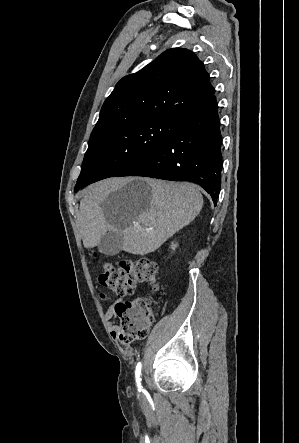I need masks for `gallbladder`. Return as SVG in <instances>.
<instances>
[{
  "label": "gallbladder",
  "mask_w": 299,
  "mask_h": 443,
  "mask_svg": "<svg viewBox=\"0 0 299 443\" xmlns=\"http://www.w3.org/2000/svg\"><path fill=\"white\" fill-rule=\"evenodd\" d=\"M123 236L120 233H106L98 244L99 252L114 256L122 250Z\"/></svg>",
  "instance_id": "obj_1"
}]
</instances>
